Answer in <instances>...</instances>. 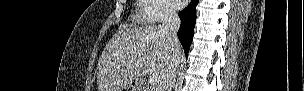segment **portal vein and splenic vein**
I'll use <instances>...</instances> for the list:
<instances>
[{
	"mask_svg": "<svg viewBox=\"0 0 304 91\" xmlns=\"http://www.w3.org/2000/svg\"><path fill=\"white\" fill-rule=\"evenodd\" d=\"M122 61H125V60H122ZM158 81H157V78H155V77H153V76H149V78H148V83L150 84V85H154V84H156Z\"/></svg>",
	"mask_w": 304,
	"mask_h": 91,
	"instance_id": "portal-vein-and-splenic-vein-1",
	"label": "portal vein and splenic vein"
}]
</instances>
